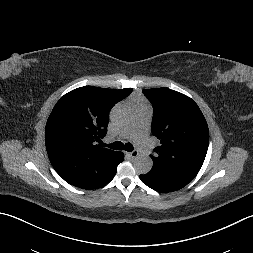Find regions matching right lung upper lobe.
Returning <instances> with one entry per match:
<instances>
[{"label": "right lung upper lobe", "instance_id": "1", "mask_svg": "<svg viewBox=\"0 0 253 253\" xmlns=\"http://www.w3.org/2000/svg\"><path fill=\"white\" fill-rule=\"evenodd\" d=\"M131 92L85 86L56 103L47 120L45 143L53 168L66 182L94 184L113 163L118 152L100 148L95 141L107 133L111 107Z\"/></svg>", "mask_w": 253, "mask_h": 253}]
</instances>
